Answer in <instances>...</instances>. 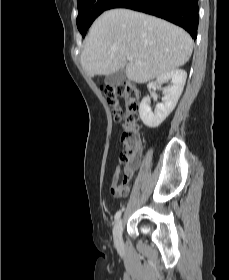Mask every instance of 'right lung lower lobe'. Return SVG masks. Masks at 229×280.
Segmentation results:
<instances>
[{"instance_id": "right-lung-lower-lobe-1", "label": "right lung lower lobe", "mask_w": 229, "mask_h": 280, "mask_svg": "<svg viewBox=\"0 0 229 280\" xmlns=\"http://www.w3.org/2000/svg\"><path fill=\"white\" fill-rule=\"evenodd\" d=\"M128 8L168 20L197 37L198 0H114L108 9ZM107 9V10H108Z\"/></svg>"}]
</instances>
